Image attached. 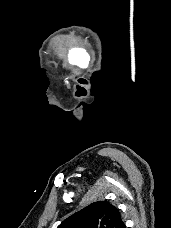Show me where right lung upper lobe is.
I'll list each match as a JSON object with an SVG mask.
<instances>
[{
	"mask_svg": "<svg viewBox=\"0 0 171 228\" xmlns=\"http://www.w3.org/2000/svg\"><path fill=\"white\" fill-rule=\"evenodd\" d=\"M57 228H126L118 209L97 201L64 220Z\"/></svg>",
	"mask_w": 171,
	"mask_h": 228,
	"instance_id": "1",
	"label": "right lung upper lobe"
}]
</instances>
